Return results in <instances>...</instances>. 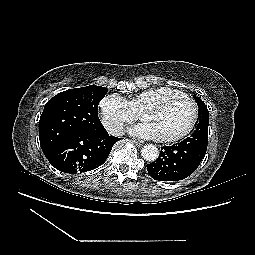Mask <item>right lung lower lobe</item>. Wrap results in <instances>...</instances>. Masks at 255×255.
Here are the masks:
<instances>
[{
	"label": "right lung lower lobe",
	"instance_id": "obj_1",
	"mask_svg": "<svg viewBox=\"0 0 255 255\" xmlns=\"http://www.w3.org/2000/svg\"><path fill=\"white\" fill-rule=\"evenodd\" d=\"M118 140L120 138L109 136L106 130L97 133L77 131L45 156L59 171L70 174L86 172L103 164Z\"/></svg>",
	"mask_w": 255,
	"mask_h": 255
}]
</instances>
